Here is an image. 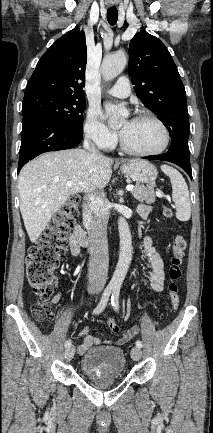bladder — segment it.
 <instances>
[{
  "mask_svg": "<svg viewBox=\"0 0 213 433\" xmlns=\"http://www.w3.org/2000/svg\"><path fill=\"white\" fill-rule=\"evenodd\" d=\"M124 351L114 346H98L88 350L80 360V371L91 379L118 377L124 374Z\"/></svg>",
  "mask_w": 213,
  "mask_h": 433,
  "instance_id": "obj_1",
  "label": "bladder"
}]
</instances>
